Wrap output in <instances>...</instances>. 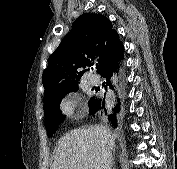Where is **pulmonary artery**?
<instances>
[{
    "label": "pulmonary artery",
    "mask_w": 177,
    "mask_h": 169,
    "mask_svg": "<svg viewBox=\"0 0 177 169\" xmlns=\"http://www.w3.org/2000/svg\"><path fill=\"white\" fill-rule=\"evenodd\" d=\"M89 81L93 85H97L99 83V78L95 75L90 76Z\"/></svg>",
    "instance_id": "e3ab8cb5"
}]
</instances>
